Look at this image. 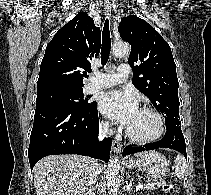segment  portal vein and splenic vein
<instances>
[{"label": "portal vein and splenic vein", "mask_w": 211, "mask_h": 195, "mask_svg": "<svg viewBox=\"0 0 211 195\" xmlns=\"http://www.w3.org/2000/svg\"><path fill=\"white\" fill-rule=\"evenodd\" d=\"M143 186H144L143 184H138V185L136 186V191L139 190V189H141V188H143Z\"/></svg>", "instance_id": "portal-vein-and-splenic-vein-1"}]
</instances>
